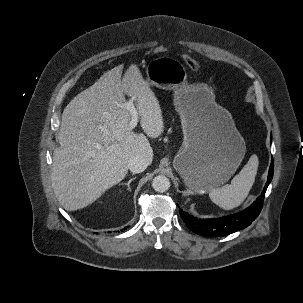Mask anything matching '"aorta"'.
Returning <instances> with one entry per match:
<instances>
[{"mask_svg": "<svg viewBox=\"0 0 303 303\" xmlns=\"http://www.w3.org/2000/svg\"><path fill=\"white\" fill-rule=\"evenodd\" d=\"M152 187L156 192H165L170 188V181L164 175H158L154 177L152 181Z\"/></svg>", "mask_w": 303, "mask_h": 303, "instance_id": "1", "label": "aorta"}]
</instances>
